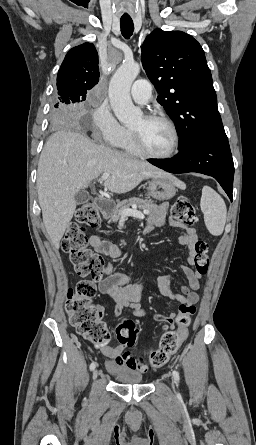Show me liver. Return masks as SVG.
I'll use <instances>...</instances> for the list:
<instances>
[{"label":"liver","mask_w":256,"mask_h":445,"mask_svg":"<svg viewBox=\"0 0 256 445\" xmlns=\"http://www.w3.org/2000/svg\"><path fill=\"white\" fill-rule=\"evenodd\" d=\"M104 173L111 175L104 182L105 188L117 194L133 190L145 179L170 176L147 162L97 145L76 131L53 133L40 155L37 191L43 223L56 250L75 212L76 193ZM174 180L178 187H184Z\"/></svg>","instance_id":"6515ba94"}]
</instances>
